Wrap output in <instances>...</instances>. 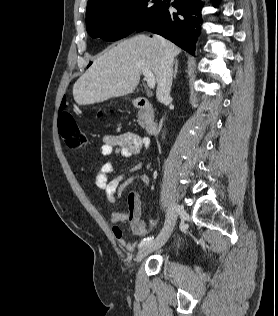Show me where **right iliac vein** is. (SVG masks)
Returning a JSON list of instances; mask_svg holds the SVG:
<instances>
[{"mask_svg":"<svg viewBox=\"0 0 278 316\" xmlns=\"http://www.w3.org/2000/svg\"><path fill=\"white\" fill-rule=\"evenodd\" d=\"M179 211L180 207L175 202H171L164 228L154 241L150 242L139 250L136 257L137 262H140L147 255L161 248L167 242L175 226Z\"/></svg>","mask_w":278,"mask_h":316,"instance_id":"1","label":"right iliac vein"}]
</instances>
